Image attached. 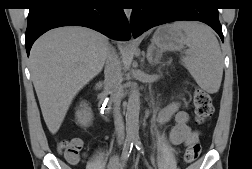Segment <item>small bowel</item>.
Returning a JSON list of instances; mask_svg holds the SVG:
<instances>
[{
  "label": "small bowel",
  "mask_w": 252,
  "mask_h": 169,
  "mask_svg": "<svg viewBox=\"0 0 252 169\" xmlns=\"http://www.w3.org/2000/svg\"><path fill=\"white\" fill-rule=\"evenodd\" d=\"M173 117L175 119V125L169 134L171 142L175 145H189L195 142L199 137V133L197 131L191 130L188 125L189 115L186 111L180 110L179 103L174 102L165 106L159 112L158 123L160 125H164ZM73 140L81 142L79 139ZM84 156H86V154H84ZM124 164L125 161L122 159V157L116 155L109 160L106 168L122 169Z\"/></svg>",
  "instance_id": "1"
}]
</instances>
